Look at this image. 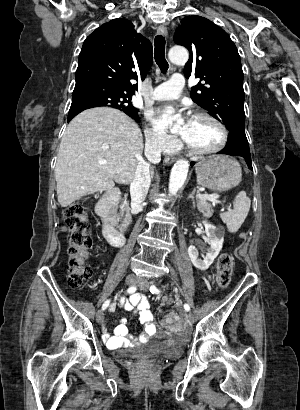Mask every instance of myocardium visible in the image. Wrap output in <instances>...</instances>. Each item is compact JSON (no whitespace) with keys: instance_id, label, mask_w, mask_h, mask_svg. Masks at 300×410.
<instances>
[{"instance_id":"f54148a6","label":"myocardium","mask_w":300,"mask_h":410,"mask_svg":"<svg viewBox=\"0 0 300 410\" xmlns=\"http://www.w3.org/2000/svg\"><path fill=\"white\" fill-rule=\"evenodd\" d=\"M194 118H197V119H207V120H209V121L215 123V124L219 127V129H220V131H221V133H222V140H221V142H220L216 147L211 148V149H208V150L198 149V148H196V147L190 145L189 143H187V142L185 141V146H186V148H187L191 153H193V154H195V155H198V156L211 155V154H214V153H217V152L221 151V150L227 145L228 140H229V130H228L227 126L224 124V122L221 121V120H220L219 118H217L216 116H214V115H212V114H209V113H206V112H197V113L194 115Z\"/></svg>"}]
</instances>
